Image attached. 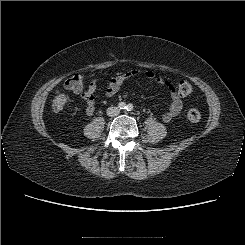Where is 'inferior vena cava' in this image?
<instances>
[{
  "label": "inferior vena cava",
  "instance_id": "obj_1",
  "mask_svg": "<svg viewBox=\"0 0 245 245\" xmlns=\"http://www.w3.org/2000/svg\"><path fill=\"white\" fill-rule=\"evenodd\" d=\"M120 113V109L118 107H109L107 109V115L111 116V117H115L117 115H119Z\"/></svg>",
  "mask_w": 245,
  "mask_h": 245
}]
</instances>
